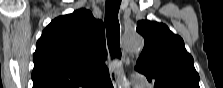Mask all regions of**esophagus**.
Listing matches in <instances>:
<instances>
[{"mask_svg":"<svg viewBox=\"0 0 223 88\" xmlns=\"http://www.w3.org/2000/svg\"><path fill=\"white\" fill-rule=\"evenodd\" d=\"M110 78L114 88H118L121 85V68L117 61L110 64Z\"/></svg>","mask_w":223,"mask_h":88,"instance_id":"esophagus-1","label":"esophagus"}]
</instances>
